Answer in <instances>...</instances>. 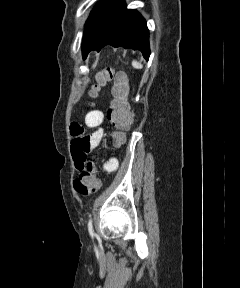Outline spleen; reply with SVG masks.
Listing matches in <instances>:
<instances>
[{
	"label": "spleen",
	"mask_w": 240,
	"mask_h": 288,
	"mask_svg": "<svg viewBox=\"0 0 240 288\" xmlns=\"http://www.w3.org/2000/svg\"><path fill=\"white\" fill-rule=\"evenodd\" d=\"M132 65H133V67L136 68V69H141V68H142L141 63H139V62H137V61H135V60L132 62Z\"/></svg>",
	"instance_id": "obj_1"
}]
</instances>
